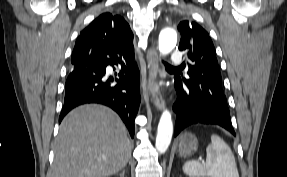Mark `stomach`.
Wrapping results in <instances>:
<instances>
[{
	"label": "stomach",
	"mask_w": 287,
	"mask_h": 177,
	"mask_svg": "<svg viewBox=\"0 0 287 177\" xmlns=\"http://www.w3.org/2000/svg\"><path fill=\"white\" fill-rule=\"evenodd\" d=\"M198 148V139L191 132H185L181 135L178 144V154L181 157H189L192 156Z\"/></svg>",
	"instance_id": "stomach-1"
}]
</instances>
